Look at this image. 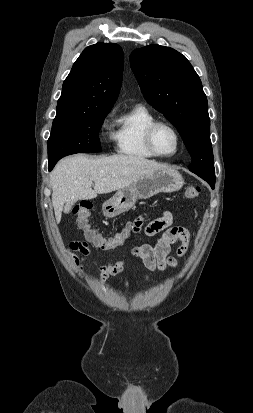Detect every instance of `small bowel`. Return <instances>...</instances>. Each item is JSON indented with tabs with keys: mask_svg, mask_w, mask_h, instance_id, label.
<instances>
[{
	"mask_svg": "<svg viewBox=\"0 0 253 413\" xmlns=\"http://www.w3.org/2000/svg\"><path fill=\"white\" fill-rule=\"evenodd\" d=\"M144 217H138L132 224V232L139 233L142 229ZM173 222L172 214L163 210L162 215L150 221L144 228V232L147 236H155L161 233L160 238L155 245L142 244L133 248L132 253L134 256L142 260L144 266L150 271H164L168 267L175 268L178 265L177 257H182L189 245L190 234L187 229L179 226H171ZM180 242V246L177 249V257L171 256V246ZM74 252H80L84 257L80 258L74 254ZM91 250L85 242H73L68 249V257L77 271H81L84 266L89 262L87 256H89ZM125 262L117 261L110 263L106 266H101L100 282H104L110 276H115L123 271Z\"/></svg>",
	"mask_w": 253,
	"mask_h": 413,
	"instance_id": "1",
	"label": "small bowel"
}]
</instances>
